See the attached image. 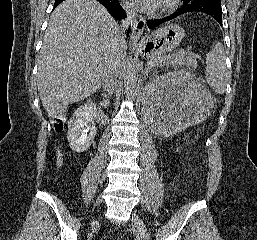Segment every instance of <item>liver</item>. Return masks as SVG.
I'll return each instance as SVG.
<instances>
[{
    "label": "liver",
    "mask_w": 257,
    "mask_h": 240,
    "mask_svg": "<svg viewBox=\"0 0 257 240\" xmlns=\"http://www.w3.org/2000/svg\"><path fill=\"white\" fill-rule=\"evenodd\" d=\"M118 31L96 0H66L53 11L38 63V92L49 116L63 115L102 86ZM125 51L123 43L121 58Z\"/></svg>",
    "instance_id": "liver-1"
}]
</instances>
